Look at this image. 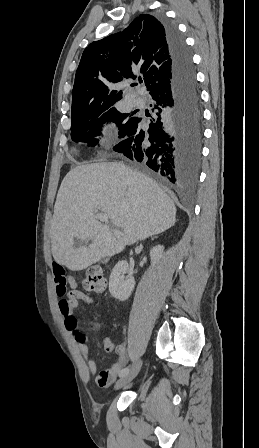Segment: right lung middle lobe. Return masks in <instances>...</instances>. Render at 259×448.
I'll use <instances>...</instances> for the list:
<instances>
[{
    "label": "right lung middle lobe",
    "instance_id": "obj_1",
    "mask_svg": "<svg viewBox=\"0 0 259 448\" xmlns=\"http://www.w3.org/2000/svg\"><path fill=\"white\" fill-rule=\"evenodd\" d=\"M127 113H121L113 105L99 106L71 114V137L75 142H86L89 146L98 144L96 138L100 135L102 125L105 122H114L119 129V138L124 133L135 117Z\"/></svg>",
    "mask_w": 259,
    "mask_h": 448
}]
</instances>
